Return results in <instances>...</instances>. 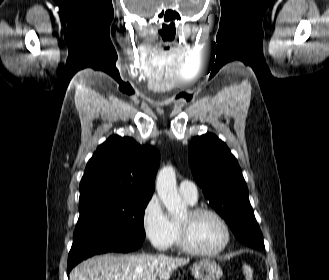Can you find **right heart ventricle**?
I'll list each match as a JSON object with an SVG mask.
<instances>
[{
    "mask_svg": "<svg viewBox=\"0 0 329 280\" xmlns=\"http://www.w3.org/2000/svg\"><path fill=\"white\" fill-rule=\"evenodd\" d=\"M186 199V198H185ZM186 201L190 204L193 205L194 202H190L189 200L186 199ZM174 227H175V239H174V243L176 245H180V240H179V229H178V222L177 221H173Z\"/></svg>",
    "mask_w": 329,
    "mask_h": 280,
    "instance_id": "1",
    "label": "right heart ventricle"
}]
</instances>
